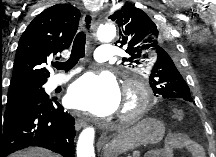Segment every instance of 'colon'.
Returning <instances> with one entry per match:
<instances>
[{
  "instance_id": "colon-1",
  "label": "colon",
  "mask_w": 216,
  "mask_h": 157,
  "mask_svg": "<svg viewBox=\"0 0 216 157\" xmlns=\"http://www.w3.org/2000/svg\"><path fill=\"white\" fill-rule=\"evenodd\" d=\"M173 119L175 121H182L184 119V112L182 109H174L173 111Z\"/></svg>"
}]
</instances>
